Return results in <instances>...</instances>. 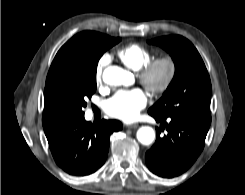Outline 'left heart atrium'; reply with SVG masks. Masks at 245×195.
<instances>
[{
    "mask_svg": "<svg viewBox=\"0 0 245 195\" xmlns=\"http://www.w3.org/2000/svg\"><path fill=\"white\" fill-rule=\"evenodd\" d=\"M147 104V96L142 89L121 90L104 104L105 112L114 118L132 122L139 116Z\"/></svg>",
    "mask_w": 245,
    "mask_h": 195,
    "instance_id": "1",
    "label": "left heart atrium"
}]
</instances>
